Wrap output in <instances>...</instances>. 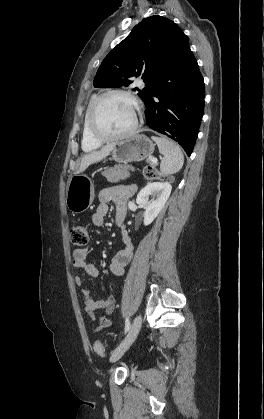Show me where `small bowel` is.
<instances>
[{
  "label": "small bowel",
  "mask_w": 264,
  "mask_h": 419,
  "mask_svg": "<svg viewBox=\"0 0 264 419\" xmlns=\"http://www.w3.org/2000/svg\"><path fill=\"white\" fill-rule=\"evenodd\" d=\"M136 187L134 185H120L104 188L99 193V205L92 215V222L95 226H103L105 217L109 210V203L115 204V220L121 228L124 248L121 249L112 259L110 264L111 272L116 276H122L126 266L133 257V244L124 226V218L127 212V203ZM88 253L85 249H76L73 253V266L85 271L91 277H98L100 272L97 267L87 261ZM75 283L81 288L84 298V309L88 316L98 322L95 332H100L112 326V321L107 317L113 312L116 295L110 293L106 299H94L91 289L85 285L81 276L75 277ZM103 311V315H98Z\"/></svg>",
  "instance_id": "1"
}]
</instances>
